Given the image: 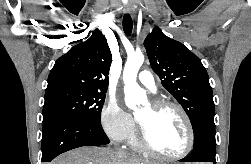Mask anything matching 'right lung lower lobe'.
Segmentation results:
<instances>
[{
    "label": "right lung lower lobe",
    "mask_w": 251,
    "mask_h": 164,
    "mask_svg": "<svg viewBox=\"0 0 251 164\" xmlns=\"http://www.w3.org/2000/svg\"><path fill=\"white\" fill-rule=\"evenodd\" d=\"M109 143L100 123L68 117L43 120L42 162H51L56 156L82 146H100Z\"/></svg>",
    "instance_id": "1"
}]
</instances>
